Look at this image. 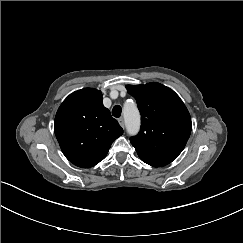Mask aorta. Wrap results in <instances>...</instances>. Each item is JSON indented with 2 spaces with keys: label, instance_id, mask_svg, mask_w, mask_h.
<instances>
[{
  "label": "aorta",
  "instance_id": "obj_1",
  "mask_svg": "<svg viewBox=\"0 0 243 243\" xmlns=\"http://www.w3.org/2000/svg\"><path fill=\"white\" fill-rule=\"evenodd\" d=\"M123 118L127 133L135 135L140 129V114L135 103L127 102L123 108Z\"/></svg>",
  "mask_w": 243,
  "mask_h": 243
}]
</instances>
